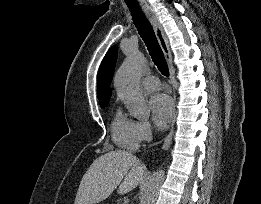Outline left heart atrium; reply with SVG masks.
Wrapping results in <instances>:
<instances>
[{
  "label": "left heart atrium",
  "instance_id": "1",
  "mask_svg": "<svg viewBox=\"0 0 261 204\" xmlns=\"http://www.w3.org/2000/svg\"><path fill=\"white\" fill-rule=\"evenodd\" d=\"M152 119L160 129L168 127L174 114L172 100L166 94H156L150 99Z\"/></svg>",
  "mask_w": 261,
  "mask_h": 204
}]
</instances>
